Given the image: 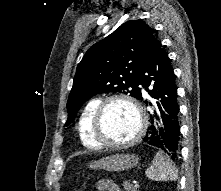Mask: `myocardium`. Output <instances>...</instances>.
<instances>
[{
	"label": "myocardium",
	"instance_id": "obj_1",
	"mask_svg": "<svg viewBox=\"0 0 221 191\" xmlns=\"http://www.w3.org/2000/svg\"><path fill=\"white\" fill-rule=\"evenodd\" d=\"M114 101H124L130 104L136 111L139 118V127L135 135L125 142H111L107 140L104 130V116L107 106ZM146 129V115L140 103L133 97L126 94H113L103 99L93 117L92 134L100 147H108L113 149H123L130 147L140 141Z\"/></svg>",
	"mask_w": 221,
	"mask_h": 191
}]
</instances>
